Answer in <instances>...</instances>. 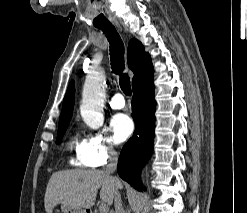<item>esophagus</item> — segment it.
I'll use <instances>...</instances> for the list:
<instances>
[{
  "label": "esophagus",
  "instance_id": "1",
  "mask_svg": "<svg viewBox=\"0 0 247 213\" xmlns=\"http://www.w3.org/2000/svg\"><path fill=\"white\" fill-rule=\"evenodd\" d=\"M115 24H116V26H117L118 28L121 29V26H120V24H119L118 22H116Z\"/></svg>",
  "mask_w": 247,
  "mask_h": 213
}]
</instances>
